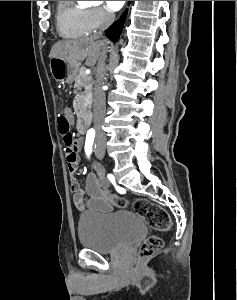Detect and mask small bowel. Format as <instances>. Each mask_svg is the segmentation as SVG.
<instances>
[{"label":"small bowel","mask_w":237,"mask_h":300,"mask_svg":"<svg viewBox=\"0 0 237 300\" xmlns=\"http://www.w3.org/2000/svg\"><path fill=\"white\" fill-rule=\"evenodd\" d=\"M63 115L68 119L69 123L73 121L70 109L66 108ZM79 149L80 145L77 143L74 147L66 150L67 167L71 174H75L79 170ZM109 185L107 176L99 166H95L94 171L87 176L85 190L80 188L77 179L73 176L71 178V190L73 192L72 200L75 207L79 211H111L113 209L112 202L105 194V190Z\"/></svg>","instance_id":"1"}]
</instances>
